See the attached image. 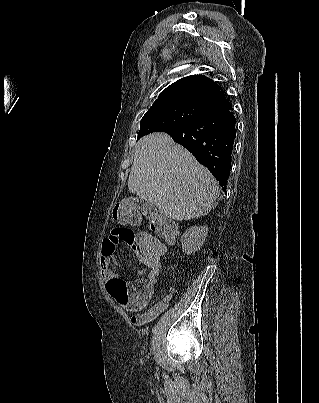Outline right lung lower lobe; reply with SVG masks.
I'll return each mask as SVG.
<instances>
[{"mask_svg":"<svg viewBox=\"0 0 319 403\" xmlns=\"http://www.w3.org/2000/svg\"><path fill=\"white\" fill-rule=\"evenodd\" d=\"M236 119L231 110L211 113L185 125L170 126L166 132L206 166L226 191L231 166Z\"/></svg>","mask_w":319,"mask_h":403,"instance_id":"1","label":"right lung lower lobe"}]
</instances>
